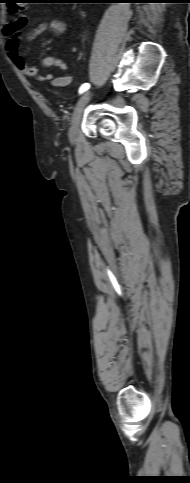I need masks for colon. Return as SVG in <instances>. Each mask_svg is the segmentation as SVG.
Returning <instances> with one entry per match:
<instances>
[{
	"mask_svg": "<svg viewBox=\"0 0 190 483\" xmlns=\"http://www.w3.org/2000/svg\"><path fill=\"white\" fill-rule=\"evenodd\" d=\"M24 3H27L25 0H12L9 2L8 4V10L10 13L12 14H17L19 12H21L23 9H24V6L27 5V4H24Z\"/></svg>",
	"mask_w": 190,
	"mask_h": 483,
	"instance_id": "5ec220e1",
	"label": "colon"
}]
</instances>
